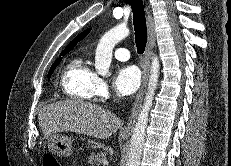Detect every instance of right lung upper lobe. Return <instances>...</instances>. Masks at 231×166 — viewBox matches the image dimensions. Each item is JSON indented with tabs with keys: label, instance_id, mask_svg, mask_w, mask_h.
Here are the masks:
<instances>
[{
	"label": "right lung upper lobe",
	"instance_id": "right-lung-upper-lobe-1",
	"mask_svg": "<svg viewBox=\"0 0 231 166\" xmlns=\"http://www.w3.org/2000/svg\"><path fill=\"white\" fill-rule=\"evenodd\" d=\"M90 31H91V28L83 31L78 36H76L75 39H73L61 53H65V52L69 53L76 46V44L80 40H82Z\"/></svg>",
	"mask_w": 231,
	"mask_h": 166
}]
</instances>
